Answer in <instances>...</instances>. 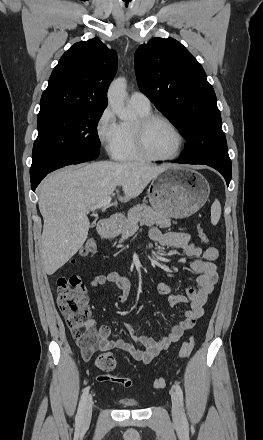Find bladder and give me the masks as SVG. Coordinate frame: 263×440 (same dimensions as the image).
<instances>
[{"label": "bladder", "instance_id": "bladder-1", "mask_svg": "<svg viewBox=\"0 0 263 440\" xmlns=\"http://www.w3.org/2000/svg\"><path fill=\"white\" fill-rule=\"evenodd\" d=\"M119 402L122 406L127 407V408H139L140 407V403L137 400H133V399H122Z\"/></svg>", "mask_w": 263, "mask_h": 440}]
</instances>
